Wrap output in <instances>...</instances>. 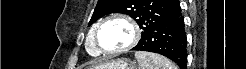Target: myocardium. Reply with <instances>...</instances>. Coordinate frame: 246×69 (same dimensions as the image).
<instances>
[{"label":"myocardium","instance_id":"myocardium-1","mask_svg":"<svg viewBox=\"0 0 246 69\" xmlns=\"http://www.w3.org/2000/svg\"><path fill=\"white\" fill-rule=\"evenodd\" d=\"M111 20H122L126 24H128V26L131 28L132 31V38L125 46L117 49L108 50L101 45L99 41V32L104 27V25ZM139 39H140V28L138 23L132 17L125 14L117 13L107 16L96 26L94 30V40L95 43L99 46L100 52L102 54L115 55L130 50L138 43Z\"/></svg>","mask_w":246,"mask_h":69}]
</instances>
